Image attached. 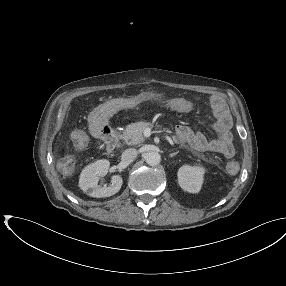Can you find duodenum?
<instances>
[{"instance_id": "1", "label": "duodenum", "mask_w": 286, "mask_h": 286, "mask_svg": "<svg viewBox=\"0 0 286 286\" xmlns=\"http://www.w3.org/2000/svg\"><path fill=\"white\" fill-rule=\"evenodd\" d=\"M98 129H99V134L100 136H104V135H110V131L108 130V127L106 125V123L104 122V120H101L98 122ZM118 138L117 137H110L107 140V147L110 151L114 152L117 149L118 146Z\"/></svg>"}]
</instances>
